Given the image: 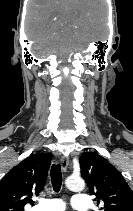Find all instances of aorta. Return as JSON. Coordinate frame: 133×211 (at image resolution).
I'll list each match as a JSON object with an SVG mask.
<instances>
[{
  "label": "aorta",
  "instance_id": "762f6f07",
  "mask_svg": "<svg viewBox=\"0 0 133 211\" xmlns=\"http://www.w3.org/2000/svg\"><path fill=\"white\" fill-rule=\"evenodd\" d=\"M66 187L71 191H82L85 187L84 180L79 176H69L65 181Z\"/></svg>",
  "mask_w": 133,
  "mask_h": 211
}]
</instances>
